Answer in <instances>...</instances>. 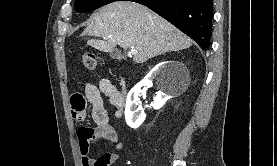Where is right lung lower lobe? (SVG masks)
Masks as SVG:
<instances>
[{
    "mask_svg": "<svg viewBox=\"0 0 277 166\" xmlns=\"http://www.w3.org/2000/svg\"><path fill=\"white\" fill-rule=\"evenodd\" d=\"M147 6L188 35L205 51L210 48L212 0H128Z\"/></svg>",
    "mask_w": 277,
    "mask_h": 166,
    "instance_id": "1",
    "label": "right lung lower lobe"
}]
</instances>
